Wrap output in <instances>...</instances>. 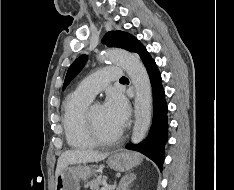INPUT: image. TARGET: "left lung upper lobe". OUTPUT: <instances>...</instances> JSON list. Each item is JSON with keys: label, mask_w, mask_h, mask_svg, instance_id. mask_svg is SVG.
Masks as SVG:
<instances>
[{"label": "left lung upper lobe", "mask_w": 234, "mask_h": 190, "mask_svg": "<svg viewBox=\"0 0 234 190\" xmlns=\"http://www.w3.org/2000/svg\"><path fill=\"white\" fill-rule=\"evenodd\" d=\"M102 42L108 47H118L130 52H136L143 45L138 39L122 31H110L105 34ZM87 61V56L83 55L76 59L67 71L63 89L80 72Z\"/></svg>", "instance_id": "left-lung-upper-lobe-1"}]
</instances>
